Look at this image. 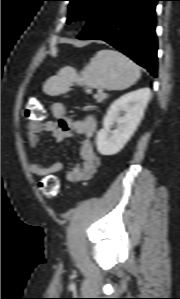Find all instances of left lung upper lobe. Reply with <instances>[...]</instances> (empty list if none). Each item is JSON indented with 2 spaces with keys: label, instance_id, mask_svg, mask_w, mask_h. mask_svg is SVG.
Masks as SVG:
<instances>
[{
  "label": "left lung upper lobe",
  "instance_id": "obj_1",
  "mask_svg": "<svg viewBox=\"0 0 180 299\" xmlns=\"http://www.w3.org/2000/svg\"><path fill=\"white\" fill-rule=\"evenodd\" d=\"M69 14L67 23L76 19H87L100 0H68Z\"/></svg>",
  "mask_w": 180,
  "mask_h": 299
}]
</instances>
